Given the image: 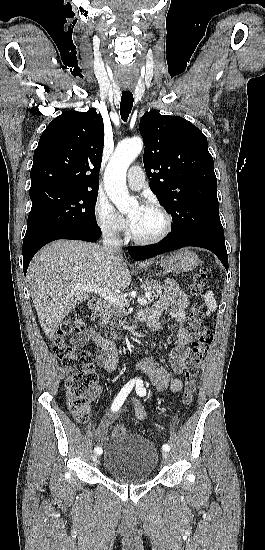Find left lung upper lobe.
Instances as JSON below:
<instances>
[{
	"mask_svg": "<svg viewBox=\"0 0 265 550\" xmlns=\"http://www.w3.org/2000/svg\"><path fill=\"white\" fill-rule=\"evenodd\" d=\"M139 129L150 188L172 216L169 236L202 233L224 240L206 136L191 122L156 110L142 116Z\"/></svg>",
	"mask_w": 265,
	"mask_h": 550,
	"instance_id": "1",
	"label": "left lung upper lobe"
}]
</instances>
